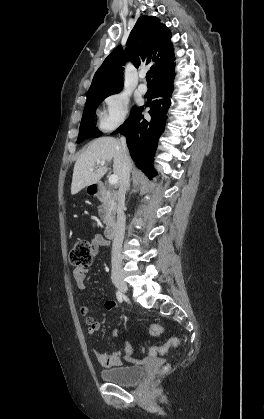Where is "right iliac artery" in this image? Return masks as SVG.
<instances>
[{
  "label": "right iliac artery",
  "mask_w": 264,
  "mask_h": 419,
  "mask_svg": "<svg viewBox=\"0 0 264 419\" xmlns=\"http://www.w3.org/2000/svg\"><path fill=\"white\" fill-rule=\"evenodd\" d=\"M116 296H117V300L121 303L124 299V295L120 291H117Z\"/></svg>",
  "instance_id": "82829eb1"
}]
</instances>
